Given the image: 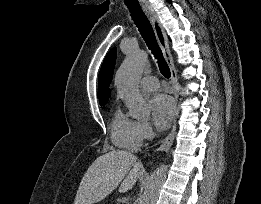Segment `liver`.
Wrapping results in <instances>:
<instances>
[{"instance_id":"6515ba94","label":"liver","mask_w":261,"mask_h":204,"mask_svg":"<svg viewBox=\"0 0 261 204\" xmlns=\"http://www.w3.org/2000/svg\"><path fill=\"white\" fill-rule=\"evenodd\" d=\"M143 165L130 152L113 150L98 157L84 174L74 204H93L115 188L124 193L143 176Z\"/></svg>"}]
</instances>
